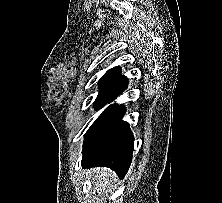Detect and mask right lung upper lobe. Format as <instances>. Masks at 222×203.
<instances>
[{
    "mask_svg": "<svg viewBox=\"0 0 222 203\" xmlns=\"http://www.w3.org/2000/svg\"><path fill=\"white\" fill-rule=\"evenodd\" d=\"M128 79L121 75V68L114 67L107 71L99 80L98 87L100 92L113 94L114 96L120 93L127 87Z\"/></svg>",
    "mask_w": 222,
    "mask_h": 203,
    "instance_id": "right-lung-upper-lobe-1",
    "label": "right lung upper lobe"
}]
</instances>
